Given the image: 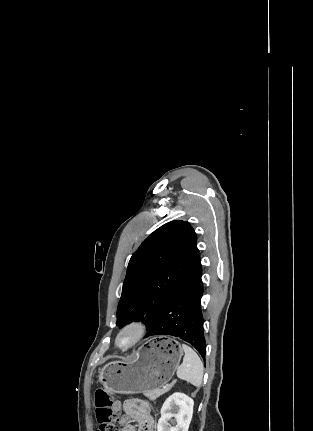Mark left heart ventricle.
I'll return each instance as SVG.
<instances>
[{"label": "left heart ventricle", "instance_id": "b2bd125f", "mask_svg": "<svg viewBox=\"0 0 313 431\" xmlns=\"http://www.w3.org/2000/svg\"><path fill=\"white\" fill-rule=\"evenodd\" d=\"M132 339H133V333L132 332H126L120 337L119 344L121 346H125V345L129 344Z\"/></svg>", "mask_w": 313, "mask_h": 431}]
</instances>
